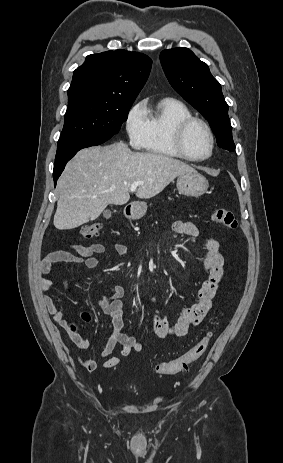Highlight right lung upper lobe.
<instances>
[{
  "label": "right lung upper lobe",
  "mask_w": 283,
  "mask_h": 463,
  "mask_svg": "<svg viewBox=\"0 0 283 463\" xmlns=\"http://www.w3.org/2000/svg\"><path fill=\"white\" fill-rule=\"evenodd\" d=\"M151 64L148 56L126 50L88 55L74 71L68 94L86 92L135 100L148 78Z\"/></svg>",
  "instance_id": "cb5924a9"
}]
</instances>
